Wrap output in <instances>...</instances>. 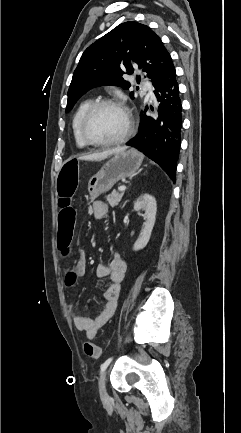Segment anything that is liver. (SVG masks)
Returning a JSON list of instances; mask_svg holds the SVG:
<instances>
[{
  "label": "liver",
  "instance_id": "6515ba94",
  "mask_svg": "<svg viewBox=\"0 0 241 433\" xmlns=\"http://www.w3.org/2000/svg\"><path fill=\"white\" fill-rule=\"evenodd\" d=\"M123 150H126V147H118V148L104 151L101 153H95V154H91V155L82 156V157H80V159L81 160H88V161H100V160L106 159L108 156H110L112 154H116V153L121 152Z\"/></svg>",
  "mask_w": 241,
  "mask_h": 433
}]
</instances>
